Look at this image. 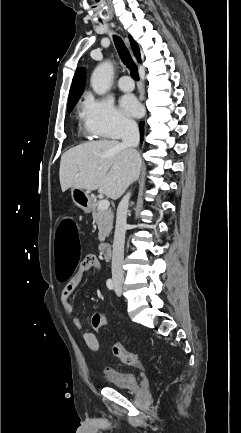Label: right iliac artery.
Wrapping results in <instances>:
<instances>
[{
	"label": "right iliac artery",
	"mask_w": 241,
	"mask_h": 433,
	"mask_svg": "<svg viewBox=\"0 0 241 433\" xmlns=\"http://www.w3.org/2000/svg\"><path fill=\"white\" fill-rule=\"evenodd\" d=\"M106 284H107V287L110 290L114 289V283H113V281L111 279H108L107 282H106Z\"/></svg>",
	"instance_id": "right-iliac-artery-1"
}]
</instances>
